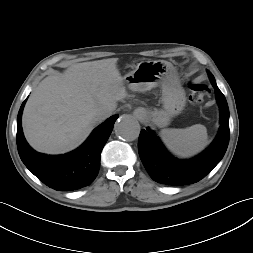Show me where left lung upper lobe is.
Masks as SVG:
<instances>
[{
    "label": "left lung upper lobe",
    "mask_w": 253,
    "mask_h": 253,
    "mask_svg": "<svg viewBox=\"0 0 253 253\" xmlns=\"http://www.w3.org/2000/svg\"><path fill=\"white\" fill-rule=\"evenodd\" d=\"M208 75H209V78H210V80H211L212 85H213V84H216L215 78H214V76L212 75V73H210V72L208 71Z\"/></svg>",
    "instance_id": "left-lung-upper-lobe-1"
}]
</instances>
